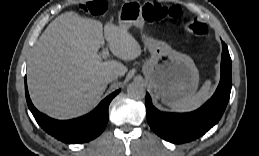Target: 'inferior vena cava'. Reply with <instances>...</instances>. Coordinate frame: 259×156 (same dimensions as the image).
<instances>
[{
  "instance_id": "inferior-vena-cava-1",
  "label": "inferior vena cava",
  "mask_w": 259,
  "mask_h": 156,
  "mask_svg": "<svg viewBox=\"0 0 259 156\" xmlns=\"http://www.w3.org/2000/svg\"><path fill=\"white\" fill-rule=\"evenodd\" d=\"M119 74L116 73V72H112V73H109L107 75V78H108V81L111 82V81H114L118 78Z\"/></svg>"
}]
</instances>
